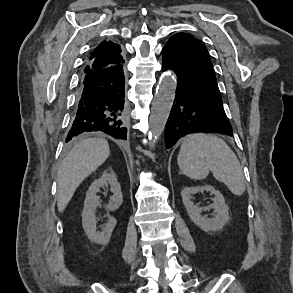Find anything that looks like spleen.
<instances>
[{"label": "spleen", "mask_w": 293, "mask_h": 293, "mask_svg": "<svg viewBox=\"0 0 293 293\" xmlns=\"http://www.w3.org/2000/svg\"><path fill=\"white\" fill-rule=\"evenodd\" d=\"M181 172L194 180L207 177L209 171L237 196L245 192L240 162L227 143L212 134H190L183 139L177 158Z\"/></svg>", "instance_id": "obj_1"}]
</instances>
